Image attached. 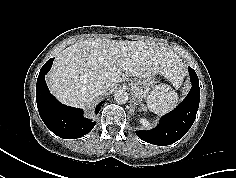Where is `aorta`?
Masks as SVG:
<instances>
[{"instance_id":"762f6f07","label":"aorta","mask_w":236,"mask_h":178,"mask_svg":"<svg viewBox=\"0 0 236 178\" xmlns=\"http://www.w3.org/2000/svg\"><path fill=\"white\" fill-rule=\"evenodd\" d=\"M114 100L118 104H124L128 100V94L125 90H119L114 94Z\"/></svg>"}]
</instances>
